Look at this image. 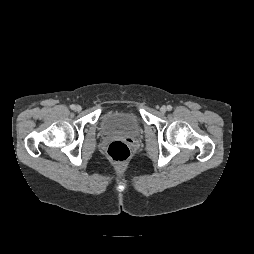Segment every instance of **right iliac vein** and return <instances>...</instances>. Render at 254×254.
I'll return each mask as SVG.
<instances>
[{"label":"right iliac vein","mask_w":254,"mask_h":254,"mask_svg":"<svg viewBox=\"0 0 254 254\" xmlns=\"http://www.w3.org/2000/svg\"><path fill=\"white\" fill-rule=\"evenodd\" d=\"M75 109L76 111H81L82 107L80 105H77Z\"/></svg>","instance_id":"right-iliac-vein-1"}]
</instances>
